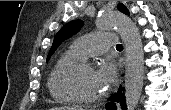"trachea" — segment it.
Here are the masks:
<instances>
[{
    "label": "trachea",
    "instance_id": "3493384b",
    "mask_svg": "<svg viewBox=\"0 0 171 110\" xmlns=\"http://www.w3.org/2000/svg\"><path fill=\"white\" fill-rule=\"evenodd\" d=\"M116 48L119 49V48H123L122 44H117L116 45Z\"/></svg>",
    "mask_w": 171,
    "mask_h": 110
}]
</instances>
